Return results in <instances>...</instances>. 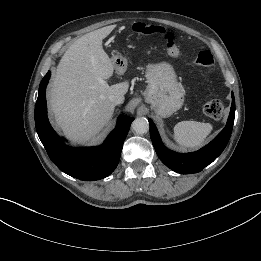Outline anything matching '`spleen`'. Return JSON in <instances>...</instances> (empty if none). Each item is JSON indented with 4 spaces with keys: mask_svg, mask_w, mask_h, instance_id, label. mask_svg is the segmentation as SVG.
<instances>
[{
    "mask_svg": "<svg viewBox=\"0 0 261 261\" xmlns=\"http://www.w3.org/2000/svg\"><path fill=\"white\" fill-rule=\"evenodd\" d=\"M212 129L210 123L181 121L174 127V136L182 148H197L202 145Z\"/></svg>",
    "mask_w": 261,
    "mask_h": 261,
    "instance_id": "3e777b00",
    "label": "spleen"
}]
</instances>
